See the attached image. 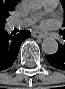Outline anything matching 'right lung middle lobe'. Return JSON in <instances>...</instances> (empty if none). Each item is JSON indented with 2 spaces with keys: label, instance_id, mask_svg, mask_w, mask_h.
<instances>
[{
  "label": "right lung middle lobe",
  "instance_id": "right-lung-middle-lobe-1",
  "mask_svg": "<svg viewBox=\"0 0 65 89\" xmlns=\"http://www.w3.org/2000/svg\"><path fill=\"white\" fill-rule=\"evenodd\" d=\"M7 17H9V16L8 15H0V28L5 27V22H6Z\"/></svg>",
  "mask_w": 65,
  "mask_h": 89
}]
</instances>
